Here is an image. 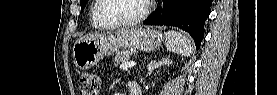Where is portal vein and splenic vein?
<instances>
[{"instance_id":"portal-vein-and-splenic-vein-1","label":"portal vein and splenic vein","mask_w":277,"mask_h":95,"mask_svg":"<svg viewBox=\"0 0 277 95\" xmlns=\"http://www.w3.org/2000/svg\"><path fill=\"white\" fill-rule=\"evenodd\" d=\"M136 65V62L135 61H129V62H124L120 65V68L121 69H127V68H131L133 66Z\"/></svg>"}]
</instances>
